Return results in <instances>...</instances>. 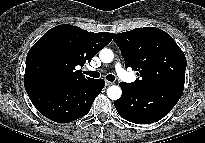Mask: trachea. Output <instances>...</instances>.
<instances>
[{
    "instance_id": "1",
    "label": "trachea",
    "mask_w": 205,
    "mask_h": 143,
    "mask_svg": "<svg viewBox=\"0 0 205 143\" xmlns=\"http://www.w3.org/2000/svg\"><path fill=\"white\" fill-rule=\"evenodd\" d=\"M84 74L90 76V77H93V78H99L100 77V74L97 72V71H84ZM106 79L108 81H114L115 80V76L112 75V74H109L106 76Z\"/></svg>"
}]
</instances>
